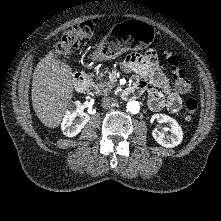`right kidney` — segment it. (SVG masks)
I'll list each match as a JSON object with an SVG mask.
<instances>
[{"label": "right kidney", "mask_w": 221, "mask_h": 221, "mask_svg": "<svg viewBox=\"0 0 221 221\" xmlns=\"http://www.w3.org/2000/svg\"><path fill=\"white\" fill-rule=\"evenodd\" d=\"M81 103L72 102L61 123L63 134L67 137H74L81 132L82 128L88 123L90 117L88 114L80 111Z\"/></svg>", "instance_id": "ca27d5eb"}]
</instances>
